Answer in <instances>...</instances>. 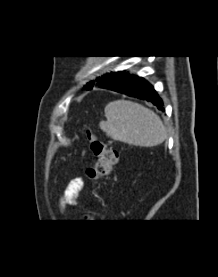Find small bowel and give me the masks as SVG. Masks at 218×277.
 I'll list each match as a JSON object with an SVG mask.
<instances>
[{
  "label": "small bowel",
  "mask_w": 218,
  "mask_h": 277,
  "mask_svg": "<svg viewBox=\"0 0 218 277\" xmlns=\"http://www.w3.org/2000/svg\"><path fill=\"white\" fill-rule=\"evenodd\" d=\"M84 186V180L81 177L72 179L65 188L61 198L60 205L62 208L75 206L78 203L79 195Z\"/></svg>",
  "instance_id": "c3829d8e"
}]
</instances>
